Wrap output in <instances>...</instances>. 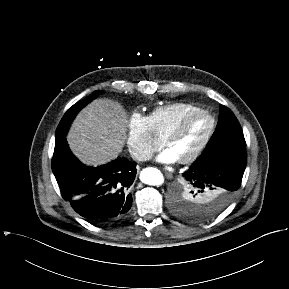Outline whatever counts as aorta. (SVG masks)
<instances>
[{"instance_id":"aorta-1","label":"aorta","mask_w":289,"mask_h":289,"mask_svg":"<svg viewBox=\"0 0 289 289\" xmlns=\"http://www.w3.org/2000/svg\"><path fill=\"white\" fill-rule=\"evenodd\" d=\"M140 180L148 185L159 186L164 182V178L160 170L156 168H145L140 173Z\"/></svg>"}]
</instances>
